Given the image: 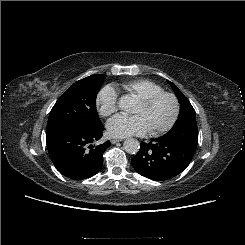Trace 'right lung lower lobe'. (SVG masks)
<instances>
[{"label":"right lung lower lobe","mask_w":245,"mask_h":245,"mask_svg":"<svg viewBox=\"0 0 245 245\" xmlns=\"http://www.w3.org/2000/svg\"><path fill=\"white\" fill-rule=\"evenodd\" d=\"M100 129L85 130L70 126L46 130V143L56 169L73 180H83L97 174L103 164L102 155L110 142L94 147L93 141L102 137ZM88 147V148H87Z\"/></svg>","instance_id":"right-lung-lower-lobe-1"}]
</instances>
